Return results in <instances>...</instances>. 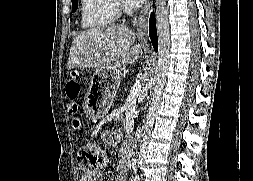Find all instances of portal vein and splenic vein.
<instances>
[{
  "label": "portal vein and splenic vein",
  "instance_id": "obj_1",
  "mask_svg": "<svg viewBox=\"0 0 253 181\" xmlns=\"http://www.w3.org/2000/svg\"><path fill=\"white\" fill-rule=\"evenodd\" d=\"M141 89V85L139 83L134 84V86L131 88V92H139Z\"/></svg>",
  "mask_w": 253,
  "mask_h": 181
}]
</instances>
